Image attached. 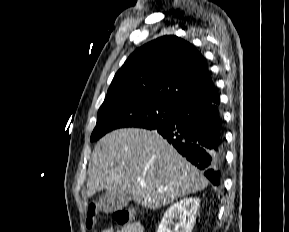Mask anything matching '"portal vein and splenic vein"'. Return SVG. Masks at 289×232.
<instances>
[{
    "label": "portal vein and splenic vein",
    "mask_w": 289,
    "mask_h": 232,
    "mask_svg": "<svg viewBox=\"0 0 289 232\" xmlns=\"http://www.w3.org/2000/svg\"><path fill=\"white\" fill-rule=\"evenodd\" d=\"M141 186H142V187H145V186H146V184H145V183H143V182H141Z\"/></svg>",
    "instance_id": "18ae733b"
}]
</instances>
